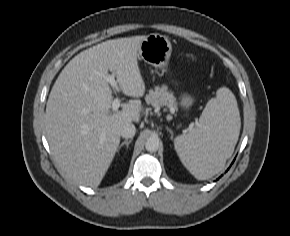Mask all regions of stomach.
Returning <instances> with one entry per match:
<instances>
[{"instance_id": "0dacf381", "label": "stomach", "mask_w": 290, "mask_h": 236, "mask_svg": "<svg viewBox=\"0 0 290 236\" xmlns=\"http://www.w3.org/2000/svg\"><path fill=\"white\" fill-rule=\"evenodd\" d=\"M172 52V45L168 37L158 33L149 34L140 45L139 58L145 63L154 66L162 71H167L168 62ZM180 106L189 111L194 104V98L183 93L180 96Z\"/></svg>"}]
</instances>
